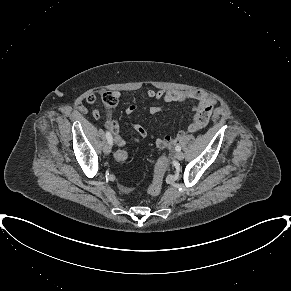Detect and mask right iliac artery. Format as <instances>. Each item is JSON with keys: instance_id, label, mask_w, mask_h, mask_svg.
Wrapping results in <instances>:
<instances>
[{"instance_id": "right-iliac-artery-1", "label": "right iliac artery", "mask_w": 291, "mask_h": 291, "mask_svg": "<svg viewBox=\"0 0 291 291\" xmlns=\"http://www.w3.org/2000/svg\"><path fill=\"white\" fill-rule=\"evenodd\" d=\"M106 138L108 140V143H110L112 145L113 139H112V135L109 131L106 132Z\"/></svg>"}]
</instances>
